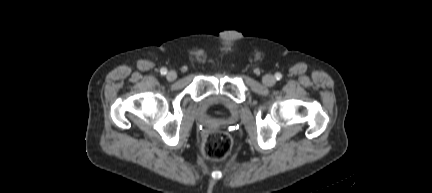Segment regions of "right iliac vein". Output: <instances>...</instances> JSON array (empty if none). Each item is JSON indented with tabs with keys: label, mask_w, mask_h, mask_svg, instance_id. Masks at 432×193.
Here are the masks:
<instances>
[{
	"label": "right iliac vein",
	"mask_w": 432,
	"mask_h": 193,
	"mask_svg": "<svg viewBox=\"0 0 432 193\" xmlns=\"http://www.w3.org/2000/svg\"><path fill=\"white\" fill-rule=\"evenodd\" d=\"M166 77L169 81H173L177 78V74L175 71H169Z\"/></svg>",
	"instance_id": "63e3f726"
}]
</instances>
